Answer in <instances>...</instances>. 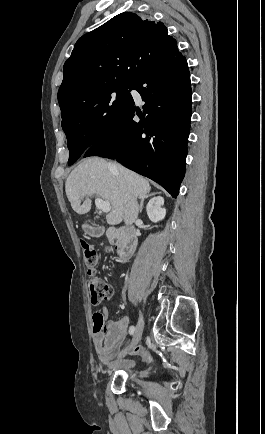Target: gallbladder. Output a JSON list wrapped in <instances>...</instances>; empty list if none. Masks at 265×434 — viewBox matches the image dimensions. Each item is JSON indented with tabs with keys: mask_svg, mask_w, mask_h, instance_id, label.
Here are the masks:
<instances>
[{
	"mask_svg": "<svg viewBox=\"0 0 265 434\" xmlns=\"http://www.w3.org/2000/svg\"><path fill=\"white\" fill-rule=\"evenodd\" d=\"M85 232L89 234V236H94V238H100L103 235L104 228L102 225L98 224L94 228V226H84Z\"/></svg>",
	"mask_w": 265,
	"mask_h": 434,
	"instance_id": "1",
	"label": "gallbladder"
}]
</instances>
